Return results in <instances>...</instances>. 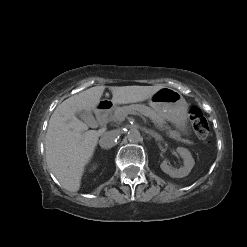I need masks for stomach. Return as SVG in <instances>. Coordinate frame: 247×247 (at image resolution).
I'll return each instance as SVG.
<instances>
[{"instance_id":"obj_1","label":"stomach","mask_w":247,"mask_h":247,"mask_svg":"<svg viewBox=\"0 0 247 247\" xmlns=\"http://www.w3.org/2000/svg\"><path fill=\"white\" fill-rule=\"evenodd\" d=\"M149 104L161 117L188 134V104L179 91L163 87L149 98Z\"/></svg>"}]
</instances>
